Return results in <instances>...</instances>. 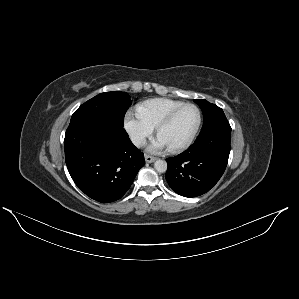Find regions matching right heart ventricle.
Masks as SVG:
<instances>
[{
	"label": "right heart ventricle",
	"mask_w": 299,
	"mask_h": 299,
	"mask_svg": "<svg viewBox=\"0 0 299 299\" xmlns=\"http://www.w3.org/2000/svg\"><path fill=\"white\" fill-rule=\"evenodd\" d=\"M184 104L183 101L170 98H152L137 106L139 116L156 128L159 122L173 109Z\"/></svg>",
	"instance_id": "right-heart-ventricle-1"
}]
</instances>
